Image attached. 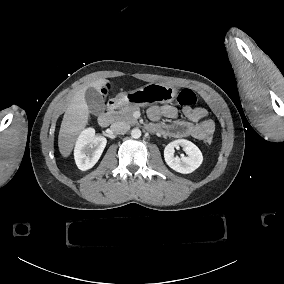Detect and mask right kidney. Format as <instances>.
Returning a JSON list of instances; mask_svg holds the SVG:
<instances>
[{
    "label": "right kidney",
    "instance_id": "right-kidney-1",
    "mask_svg": "<svg viewBox=\"0 0 284 284\" xmlns=\"http://www.w3.org/2000/svg\"><path fill=\"white\" fill-rule=\"evenodd\" d=\"M107 140L95 135L93 129L85 130L78 139L75 148V160L79 169L86 171L98 162Z\"/></svg>",
    "mask_w": 284,
    "mask_h": 284
}]
</instances>
